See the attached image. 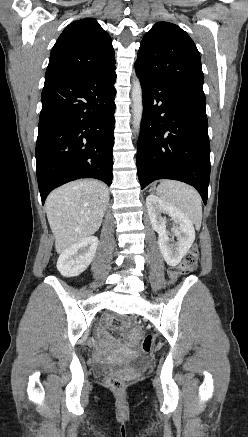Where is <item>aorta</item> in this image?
I'll list each match as a JSON object with an SVG mask.
<instances>
[{
  "instance_id": "1",
  "label": "aorta",
  "mask_w": 248,
  "mask_h": 437,
  "mask_svg": "<svg viewBox=\"0 0 248 437\" xmlns=\"http://www.w3.org/2000/svg\"><path fill=\"white\" fill-rule=\"evenodd\" d=\"M131 96L133 101V127L138 136L140 132V125L143 113L142 89L138 78H135L133 81Z\"/></svg>"
}]
</instances>
